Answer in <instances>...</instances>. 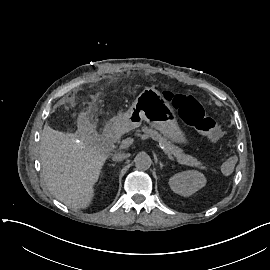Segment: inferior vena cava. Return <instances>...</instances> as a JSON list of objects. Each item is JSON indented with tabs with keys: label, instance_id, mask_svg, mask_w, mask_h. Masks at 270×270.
Wrapping results in <instances>:
<instances>
[{
	"label": "inferior vena cava",
	"instance_id": "602c4592",
	"mask_svg": "<svg viewBox=\"0 0 270 270\" xmlns=\"http://www.w3.org/2000/svg\"><path fill=\"white\" fill-rule=\"evenodd\" d=\"M129 156H130L129 154L124 153V152L123 153H117V154L113 155L112 159L114 161H121V160H124V159L128 158Z\"/></svg>",
	"mask_w": 270,
	"mask_h": 270
}]
</instances>
